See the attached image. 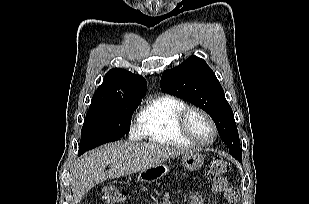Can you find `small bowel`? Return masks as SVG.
<instances>
[{
    "instance_id": "c3829d8e",
    "label": "small bowel",
    "mask_w": 309,
    "mask_h": 204,
    "mask_svg": "<svg viewBox=\"0 0 309 204\" xmlns=\"http://www.w3.org/2000/svg\"><path fill=\"white\" fill-rule=\"evenodd\" d=\"M212 190L216 194L224 196L228 201H236L238 198V192L235 188L230 187L226 177H221L215 181L212 186ZM191 204H203V200L200 195L194 194L191 196Z\"/></svg>"
}]
</instances>
